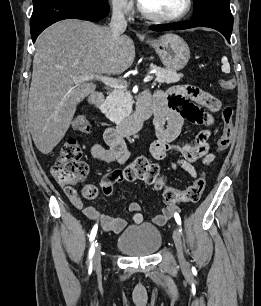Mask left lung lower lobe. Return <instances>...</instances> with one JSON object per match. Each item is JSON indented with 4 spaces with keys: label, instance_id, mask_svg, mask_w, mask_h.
Here are the masks:
<instances>
[{
    "label": "left lung lower lobe",
    "instance_id": "0a47b994",
    "mask_svg": "<svg viewBox=\"0 0 261 306\" xmlns=\"http://www.w3.org/2000/svg\"><path fill=\"white\" fill-rule=\"evenodd\" d=\"M194 27H209L222 33L228 42L233 29V18L227 19H191L184 22H176L170 24L154 25L151 30L165 31V30H183Z\"/></svg>",
    "mask_w": 261,
    "mask_h": 306
}]
</instances>
